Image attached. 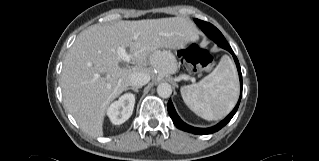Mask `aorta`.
I'll return each instance as SVG.
<instances>
[{"label":"aorta","mask_w":319,"mask_h":161,"mask_svg":"<svg viewBox=\"0 0 319 161\" xmlns=\"http://www.w3.org/2000/svg\"><path fill=\"white\" fill-rule=\"evenodd\" d=\"M157 93L162 98H168L172 94V87L169 83H160L157 87Z\"/></svg>","instance_id":"762f6f07"}]
</instances>
